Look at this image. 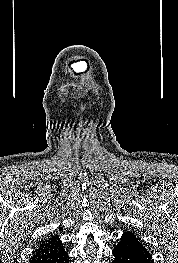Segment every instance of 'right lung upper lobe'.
Wrapping results in <instances>:
<instances>
[{"mask_svg":"<svg viewBox=\"0 0 178 263\" xmlns=\"http://www.w3.org/2000/svg\"><path fill=\"white\" fill-rule=\"evenodd\" d=\"M62 242L57 236L43 240L38 248L33 252L30 263H44L61 251H63Z\"/></svg>","mask_w":178,"mask_h":263,"instance_id":"1","label":"right lung upper lobe"}]
</instances>
